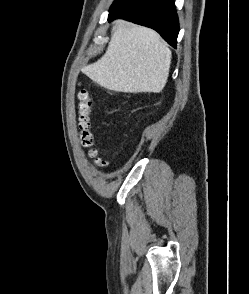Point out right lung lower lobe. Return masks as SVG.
<instances>
[{
	"mask_svg": "<svg viewBox=\"0 0 249 294\" xmlns=\"http://www.w3.org/2000/svg\"><path fill=\"white\" fill-rule=\"evenodd\" d=\"M116 18L150 27L176 47L179 24L173 0H124L110 9L108 20Z\"/></svg>",
	"mask_w": 249,
	"mask_h": 294,
	"instance_id": "1",
	"label": "right lung lower lobe"
}]
</instances>
